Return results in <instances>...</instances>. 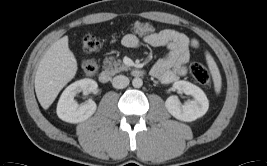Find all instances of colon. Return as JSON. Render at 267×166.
Here are the masks:
<instances>
[{
	"mask_svg": "<svg viewBox=\"0 0 267 166\" xmlns=\"http://www.w3.org/2000/svg\"><path fill=\"white\" fill-rule=\"evenodd\" d=\"M133 31L139 35L151 34L155 31V28L147 23L137 22L132 26ZM82 48L86 54H90L98 51L101 48L100 39L94 34H87L82 39ZM82 72L85 75H94L98 69L96 61L93 59H87L82 63ZM189 72L192 77L200 84L211 87V77L208 70L198 62H192L188 66Z\"/></svg>",
	"mask_w": 267,
	"mask_h": 166,
	"instance_id": "5ec220e1",
	"label": "colon"
}]
</instances>
